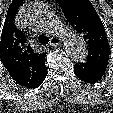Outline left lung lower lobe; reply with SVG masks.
Returning a JSON list of instances; mask_svg holds the SVG:
<instances>
[{"label": "left lung lower lobe", "instance_id": "0a47b994", "mask_svg": "<svg viewBox=\"0 0 113 113\" xmlns=\"http://www.w3.org/2000/svg\"><path fill=\"white\" fill-rule=\"evenodd\" d=\"M105 71L106 68L87 62L74 65L77 77L87 83H96L102 78Z\"/></svg>", "mask_w": 113, "mask_h": 113}]
</instances>
